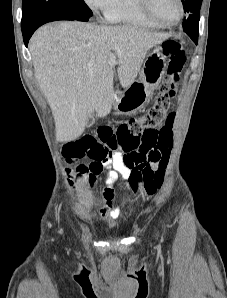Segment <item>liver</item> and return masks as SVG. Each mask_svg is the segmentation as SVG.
<instances>
[{
	"mask_svg": "<svg viewBox=\"0 0 227 298\" xmlns=\"http://www.w3.org/2000/svg\"><path fill=\"white\" fill-rule=\"evenodd\" d=\"M170 37L131 26L65 21L40 27L29 42L37 82L51 107L56 139L69 142L85 130L88 116L102 118L115 97L114 66L123 88L138 75L148 50Z\"/></svg>",
	"mask_w": 227,
	"mask_h": 298,
	"instance_id": "obj_1",
	"label": "liver"
}]
</instances>
